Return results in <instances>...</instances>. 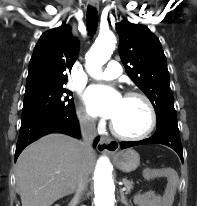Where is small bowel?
Listing matches in <instances>:
<instances>
[{
    "instance_id": "c3829d8e",
    "label": "small bowel",
    "mask_w": 197,
    "mask_h": 206,
    "mask_svg": "<svg viewBox=\"0 0 197 206\" xmlns=\"http://www.w3.org/2000/svg\"><path fill=\"white\" fill-rule=\"evenodd\" d=\"M137 206H163V199L154 193H139L134 197Z\"/></svg>"
}]
</instances>
